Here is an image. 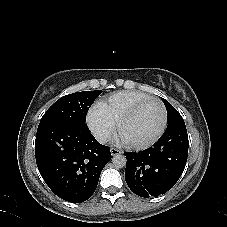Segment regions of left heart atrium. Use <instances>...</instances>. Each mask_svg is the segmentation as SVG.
Masks as SVG:
<instances>
[{"instance_id":"39dd6f15","label":"left heart atrium","mask_w":227,"mask_h":227,"mask_svg":"<svg viewBox=\"0 0 227 227\" xmlns=\"http://www.w3.org/2000/svg\"><path fill=\"white\" fill-rule=\"evenodd\" d=\"M116 143L118 145H128V141L122 136L119 134V136L116 138Z\"/></svg>"}]
</instances>
